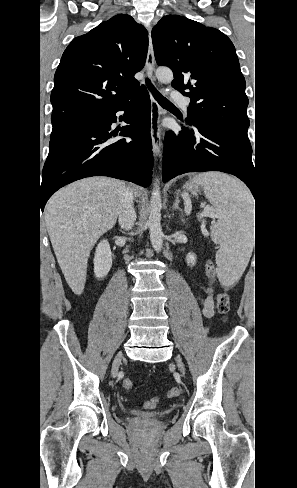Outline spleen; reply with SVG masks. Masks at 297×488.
Wrapping results in <instances>:
<instances>
[{
	"label": "spleen",
	"mask_w": 297,
	"mask_h": 488,
	"mask_svg": "<svg viewBox=\"0 0 297 488\" xmlns=\"http://www.w3.org/2000/svg\"><path fill=\"white\" fill-rule=\"evenodd\" d=\"M215 207L217 221L210 227L216 254L218 275L223 282L240 278L249 262L253 246V201L249 191L237 179L219 172L194 176Z\"/></svg>",
	"instance_id": "3e777b00"
}]
</instances>
